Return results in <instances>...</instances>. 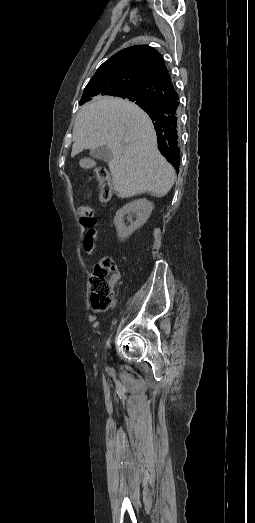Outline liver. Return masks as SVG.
<instances>
[{"label":"liver","mask_w":255,"mask_h":523,"mask_svg":"<svg viewBox=\"0 0 255 523\" xmlns=\"http://www.w3.org/2000/svg\"><path fill=\"white\" fill-rule=\"evenodd\" d=\"M71 158L83 150L108 146L114 190L119 198L153 192L166 196L175 170L157 148L154 126L147 114L129 100L103 98L80 108L73 128Z\"/></svg>","instance_id":"6515ba94"}]
</instances>
